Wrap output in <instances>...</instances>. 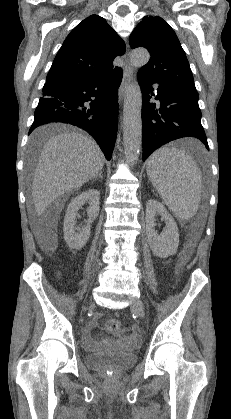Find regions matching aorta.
Returning a JSON list of instances; mask_svg holds the SVG:
<instances>
[{
  "mask_svg": "<svg viewBox=\"0 0 231 419\" xmlns=\"http://www.w3.org/2000/svg\"><path fill=\"white\" fill-rule=\"evenodd\" d=\"M150 54L145 49H136L130 55L134 67H142L149 61ZM142 94L137 82L126 90L123 109V144L127 163L135 165L139 159L142 144Z\"/></svg>",
  "mask_w": 231,
  "mask_h": 419,
  "instance_id": "obj_1",
  "label": "aorta"
}]
</instances>
